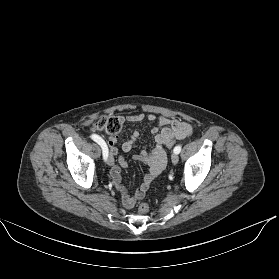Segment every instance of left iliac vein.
Segmentation results:
<instances>
[{"label": "left iliac vein", "instance_id": "4c4485c4", "mask_svg": "<svg viewBox=\"0 0 279 279\" xmlns=\"http://www.w3.org/2000/svg\"><path fill=\"white\" fill-rule=\"evenodd\" d=\"M171 161H172V163H173L174 165L177 164L178 161H179L178 154L173 153L172 156H171Z\"/></svg>", "mask_w": 279, "mask_h": 279}]
</instances>
